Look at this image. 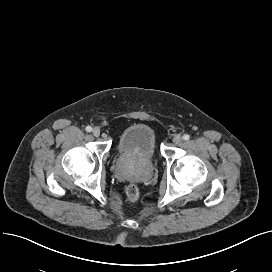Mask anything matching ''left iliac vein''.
Returning a JSON list of instances; mask_svg holds the SVG:
<instances>
[{"label":"left iliac vein","mask_w":272,"mask_h":272,"mask_svg":"<svg viewBox=\"0 0 272 272\" xmlns=\"http://www.w3.org/2000/svg\"><path fill=\"white\" fill-rule=\"evenodd\" d=\"M172 140L173 143L179 144L182 141V137L180 135H175Z\"/></svg>","instance_id":"1"}]
</instances>
